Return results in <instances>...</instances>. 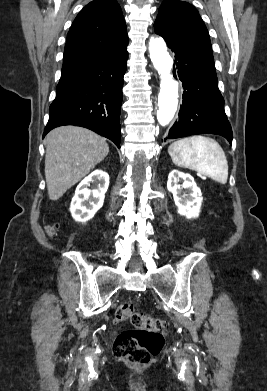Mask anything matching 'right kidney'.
I'll return each instance as SVG.
<instances>
[{
    "label": "right kidney",
    "mask_w": 267,
    "mask_h": 391,
    "mask_svg": "<svg viewBox=\"0 0 267 391\" xmlns=\"http://www.w3.org/2000/svg\"><path fill=\"white\" fill-rule=\"evenodd\" d=\"M98 183L97 188L90 190V183ZM109 186V175L102 170H95L77 186L72 198L70 212L72 217L85 223L103 206L105 193Z\"/></svg>",
    "instance_id": "right-kidney-1"
}]
</instances>
